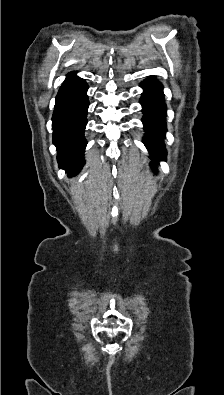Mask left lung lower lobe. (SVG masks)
I'll list each match as a JSON object with an SVG mask.
<instances>
[{
    "instance_id": "1",
    "label": "left lung lower lobe",
    "mask_w": 224,
    "mask_h": 395,
    "mask_svg": "<svg viewBox=\"0 0 224 395\" xmlns=\"http://www.w3.org/2000/svg\"><path fill=\"white\" fill-rule=\"evenodd\" d=\"M144 88L140 103L143 106L144 118L142 120L146 131L143 143L155 160H165L163 138L166 132V105L162 93V85L153 78L141 83Z\"/></svg>"
}]
</instances>
